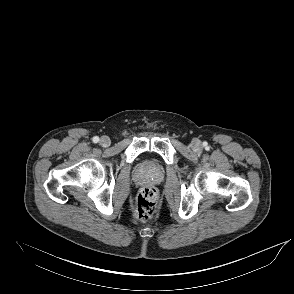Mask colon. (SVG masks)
Returning <instances> with one entry per match:
<instances>
[{"label":"colon","instance_id":"obj_1","mask_svg":"<svg viewBox=\"0 0 294 294\" xmlns=\"http://www.w3.org/2000/svg\"><path fill=\"white\" fill-rule=\"evenodd\" d=\"M158 203L157 190L152 186L142 188L134 206V215L141 221L149 220L155 213Z\"/></svg>","mask_w":294,"mask_h":294}]
</instances>
